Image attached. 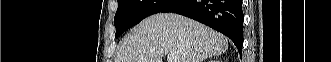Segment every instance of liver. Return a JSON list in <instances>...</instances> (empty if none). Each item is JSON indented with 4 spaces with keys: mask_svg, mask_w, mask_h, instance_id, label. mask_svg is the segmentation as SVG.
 <instances>
[{
    "mask_svg": "<svg viewBox=\"0 0 331 62\" xmlns=\"http://www.w3.org/2000/svg\"><path fill=\"white\" fill-rule=\"evenodd\" d=\"M228 48V40L213 29L178 14L160 13L143 20L121 42L115 62H202Z\"/></svg>",
    "mask_w": 331,
    "mask_h": 62,
    "instance_id": "obj_1",
    "label": "liver"
}]
</instances>
